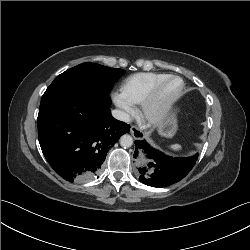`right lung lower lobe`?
<instances>
[{"label":"right lung lower lobe","instance_id":"1","mask_svg":"<svg viewBox=\"0 0 250 250\" xmlns=\"http://www.w3.org/2000/svg\"><path fill=\"white\" fill-rule=\"evenodd\" d=\"M109 94L73 90L39 109L38 138L54 171L73 182L94 178L130 126L112 117Z\"/></svg>","mask_w":250,"mask_h":250}]
</instances>
